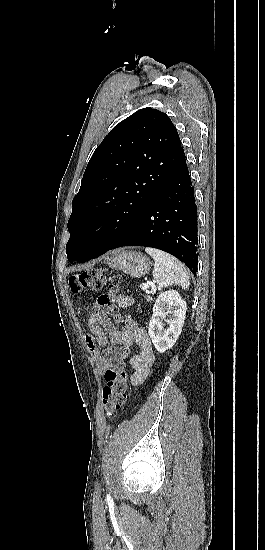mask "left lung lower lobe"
Masks as SVG:
<instances>
[{
  "label": "left lung lower lobe",
  "instance_id": "1",
  "mask_svg": "<svg viewBox=\"0 0 265 550\" xmlns=\"http://www.w3.org/2000/svg\"><path fill=\"white\" fill-rule=\"evenodd\" d=\"M197 245V206L184 158L130 228L109 248L84 262L114 248L146 246L174 255L196 274L199 255Z\"/></svg>",
  "mask_w": 265,
  "mask_h": 550
}]
</instances>
